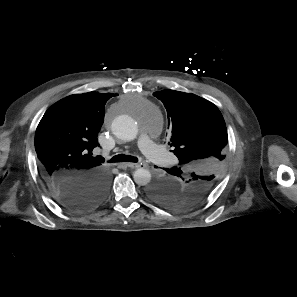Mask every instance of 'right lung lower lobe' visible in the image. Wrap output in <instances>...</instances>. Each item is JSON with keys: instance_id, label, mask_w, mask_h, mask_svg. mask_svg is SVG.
Returning a JSON list of instances; mask_svg holds the SVG:
<instances>
[{"instance_id": "1", "label": "right lung lower lobe", "mask_w": 297, "mask_h": 297, "mask_svg": "<svg viewBox=\"0 0 297 297\" xmlns=\"http://www.w3.org/2000/svg\"><path fill=\"white\" fill-rule=\"evenodd\" d=\"M109 177L104 171L92 172L79 180L56 179L49 186L52 197L64 207L90 210L99 205L108 192Z\"/></svg>"}]
</instances>
